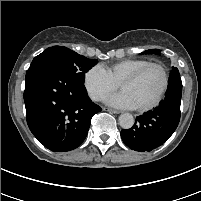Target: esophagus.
<instances>
[{"label":"esophagus","mask_w":201,"mask_h":201,"mask_svg":"<svg viewBox=\"0 0 201 201\" xmlns=\"http://www.w3.org/2000/svg\"><path fill=\"white\" fill-rule=\"evenodd\" d=\"M104 111H107L109 113H114V114H119L120 111L115 110V109H111V108H103Z\"/></svg>","instance_id":"34e87169"}]
</instances>
